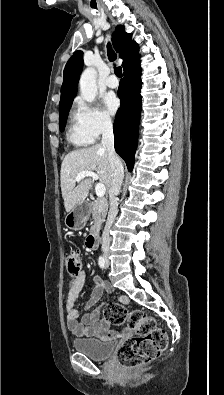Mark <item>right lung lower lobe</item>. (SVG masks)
Segmentation results:
<instances>
[{
    "label": "right lung lower lobe",
    "mask_w": 224,
    "mask_h": 395,
    "mask_svg": "<svg viewBox=\"0 0 224 395\" xmlns=\"http://www.w3.org/2000/svg\"><path fill=\"white\" fill-rule=\"evenodd\" d=\"M139 58L124 68V78L118 88L121 107L113 125L115 150L125 160L129 170L133 168L141 110L142 82Z\"/></svg>",
    "instance_id": "right-lung-lower-lobe-1"
}]
</instances>
